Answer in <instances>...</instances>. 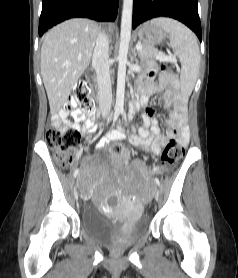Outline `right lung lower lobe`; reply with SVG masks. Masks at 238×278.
Returning a JSON list of instances; mask_svg holds the SVG:
<instances>
[{"label":"right lung lower lobe","instance_id":"1","mask_svg":"<svg viewBox=\"0 0 238 278\" xmlns=\"http://www.w3.org/2000/svg\"><path fill=\"white\" fill-rule=\"evenodd\" d=\"M118 0H42L39 35L54 25L75 17L114 21Z\"/></svg>","mask_w":238,"mask_h":278}]
</instances>
